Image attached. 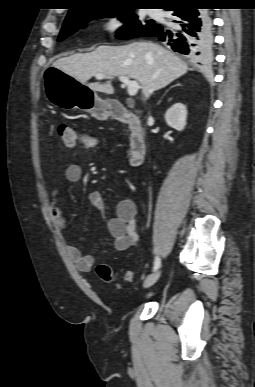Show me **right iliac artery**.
<instances>
[{
	"mask_svg": "<svg viewBox=\"0 0 255 387\" xmlns=\"http://www.w3.org/2000/svg\"><path fill=\"white\" fill-rule=\"evenodd\" d=\"M160 267V259L158 257L155 258L153 271H156Z\"/></svg>",
	"mask_w": 255,
	"mask_h": 387,
	"instance_id": "right-iliac-artery-1",
	"label": "right iliac artery"
}]
</instances>
